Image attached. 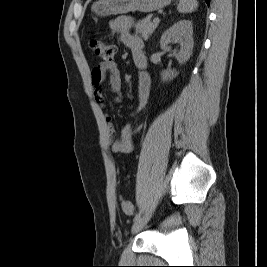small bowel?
I'll use <instances>...</instances> for the list:
<instances>
[{
    "label": "small bowel",
    "instance_id": "1",
    "mask_svg": "<svg viewBox=\"0 0 267 267\" xmlns=\"http://www.w3.org/2000/svg\"><path fill=\"white\" fill-rule=\"evenodd\" d=\"M132 19L128 16H119L111 22V28L121 34L122 42L131 50L133 61L139 73V107L140 111L147 103L151 80L149 74L145 71L147 60L143 52V41L140 37L130 32ZM108 78L109 87L114 94L116 102L121 101V74L118 66L114 62H102L93 68L91 72V80L94 85V99L101 109L106 108L105 97L100 89V85ZM108 127V137L113 139L115 129L112 123V117L105 115ZM138 126L132 123L125 125L120 133V137L111 144V150L114 153H130L133 150V137Z\"/></svg>",
    "mask_w": 267,
    "mask_h": 267
}]
</instances>
